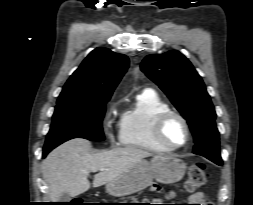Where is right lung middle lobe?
Wrapping results in <instances>:
<instances>
[{
	"mask_svg": "<svg viewBox=\"0 0 253 205\" xmlns=\"http://www.w3.org/2000/svg\"><path fill=\"white\" fill-rule=\"evenodd\" d=\"M108 100L57 103L44 149H53L72 138L103 141L102 119Z\"/></svg>",
	"mask_w": 253,
	"mask_h": 205,
	"instance_id": "right-lung-middle-lobe-1",
	"label": "right lung middle lobe"
}]
</instances>
